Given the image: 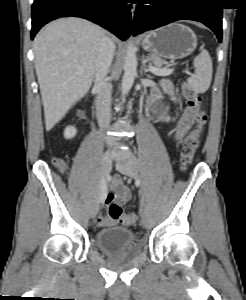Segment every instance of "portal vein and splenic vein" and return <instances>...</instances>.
Instances as JSON below:
<instances>
[{
  "label": "portal vein and splenic vein",
  "instance_id": "1",
  "mask_svg": "<svg viewBox=\"0 0 246 300\" xmlns=\"http://www.w3.org/2000/svg\"><path fill=\"white\" fill-rule=\"evenodd\" d=\"M150 70L152 73H154L155 75H158V76H169L173 72V70H171V69H159V68L153 67V66H150ZM186 73L188 75L191 74L189 71H186Z\"/></svg>",
  "mask_w": 246,
  "mask_h": 300
}]
</instances>
